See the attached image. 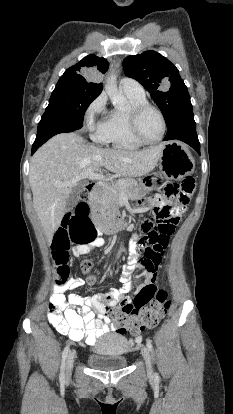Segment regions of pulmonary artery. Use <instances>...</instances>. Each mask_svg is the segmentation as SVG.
I'll list each match as a JSON object with an SVG mask.
<instances>
[{
  "mask_svg": "<svg viewBox=\"0 0 233 414\" xmlns=\"http://www.w3.org/2000/svg\"><path fill=\"white\" fill-rule=\"evenodd\" d=\"M120 88L126 93L145 95V91L142 85L132 78H123L120 81Z\"/></svg>",
  "mask_w": 233,
  "mask_h": 414,
  "instance_id": "e3ab8cb5",
  "label": "pulmonary artery"
}]
</instances>
